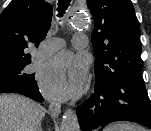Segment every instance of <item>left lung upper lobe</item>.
<instances>
[{
    "label": "left lung upper lobe",
    "mask_w": 151,
    "mask_h": 131,
    "mask_svg": "<svg viewBox=\"0 0 151 131\" xmlns=\"http://www.w3.org/2000/svg\"><path fill=\"white\" fill-rule=\"evenodd\" d=\"M94 18L95 86L141 69L140 26L130 0H87Z\"/></svg>",
    "instance_id": "1"
}]
</instances>
